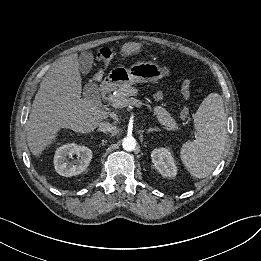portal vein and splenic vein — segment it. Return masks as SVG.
Returning a JSON list of instances; mask_svg holds the SVG:
<instances>
[{"mask_svg": "<svg viewBox=\"0 0 261 261\" xmlns=\"http://www.w3.org/2000/svg\"><path fill=\"white\" fill-rule=\"evenodd\" d=\"M111 105L114 108H123V107H126L127 105H133L136 107H140L142 105V103L139 100L132 98L131 100L117 101V102L112 103Z\"/></svg>", "mask_w": 261, "mask_h": 261, "instance_id": "obj_1", "label": "portal vein and splenic vein"}]
</instances>
